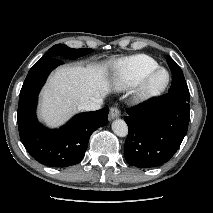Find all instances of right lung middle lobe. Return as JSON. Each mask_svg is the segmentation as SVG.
Masks as SVG:
<instances>
[{
  "label": "right lung middle lobe",
  "instance_id": "right-lung-middle-lobe-1",
  "mask_svg": "<svg viewBox=\"0 0 213 213\" xmlns=\"http://www.w3.org/2000/svg\"><path fill=\"white\" fill-rule=\"evenodd\" d=\"M91 51L92 49H87V48L72 49L63 44H56L53 47H51L46 52V54L37 61V63L51 59V58H58L59 56H62L67 59H76L78 57H81L90 53Z\"/></svg>",
  "mask_w": 213,
  "mask_h": 213
}]
</instances>
